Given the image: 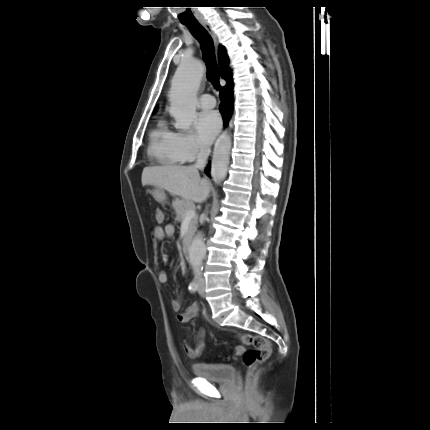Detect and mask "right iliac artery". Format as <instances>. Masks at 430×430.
<instances>
[{"label":"right iliac artery","mask_w":430,"mask_h":430,"mask_svg":"<svg viewBox=\"0 0 430 430\" xmlns=\"http://www.w3.org/2000/svg\"><path fill=\"white\" fill-rule=\"evenodd\" d=\"M196 278H197V275H196ZM188 289H189V291H191V292H195V291L198 289V283H197V280H196V279H195V280H193V281L189 284Z\"/></svg>","instance_id":"82829eb1"}]
</instances>
